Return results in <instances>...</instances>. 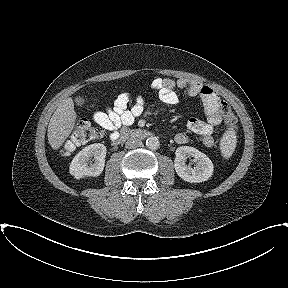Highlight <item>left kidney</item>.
Here are the masks:
<instances>
[{
	"label": "left kidney",
	"instance_id": "obj_1",
	"mask_svg": "<svg viewBox=\"0 0 288 288\" xmlns=\"http://www.w3.org/2000/svg\"><path fill=\"white\" fill-rule=\"evenodd\" d=\"M174 167L177 175L184 181L200 183L207 181L213 174L212 161L194 147L181 146L176 149ZM193 157L196 161L194 168L186 164V159Z\"/></svg>",
	"mask_w": 288,
	"mask_h": 288
}]
</instances>
